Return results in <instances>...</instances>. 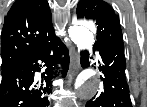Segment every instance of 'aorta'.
Returning <instances> with one entry per match:
<instances>
[{"instance_id":"1","label":"aorta","mask_w":147,"mask_h":107,"mask_svg":"<svg viewBox=\"0 0 147 107\" xmlns=\"http://www.w3.org/2000/svg\"><path fill=\"white\" fill-rule=\"evenodd\" d=\"M92 23H81L69 28V37L77 45L78 49H91L94 44ZM75 86L78 90V97L81 99L91 98L100 87L98 75L90 70L82 71L77 77Z\"/></svg>"}]
</instances>
